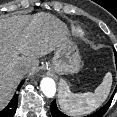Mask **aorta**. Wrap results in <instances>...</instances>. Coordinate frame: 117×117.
<instances>
[{"label": "aorta", "instance_id": "762f6f07", "mask_svg": "<svg viewBox=\"0 0 117 117\" xmlns=\"http://www.w3.org/2000/svg\"><path fill=\"white\" fill-rule=\"evenodd\" d=\"M40 87L43 94L48 98H52L56 93V85L52 78H43L41 80Z\"/></svg>", "mask_w": 117, "mask_h": 117}]
</instances>
